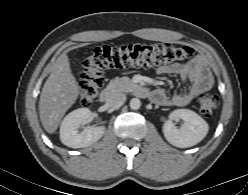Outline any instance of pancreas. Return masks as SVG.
I'll list each match as a JSON object with an SVG mask.
<instances>
[{
  "label": "pancreas",
  "mask_w": 248,
  "mask_h": 195,
  "mask_svg": "<svg viewBox=\"0 0 248 195\" xmlns=\"http://www.w3.org/2000/svg\"><path fill=\"white\" fill-rule=\"evenodd\" d=\"M136 85L128 77L115 78L110 81L108 88L113 91L131 92Z\"/></svg>",
  "instance_id": "pancreas-1"
}]
</instances>
